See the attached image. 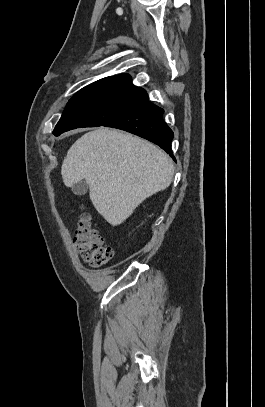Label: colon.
Listing matches in <instances>:
<instances>
[{
    "label": "colon",
    "instance_id": "colon-1",
    "mask_svg": "<svg viewBox=\"0 0 265 407\" xmlns=\"http://www.w3.org/2000/svg\"><path fill=\"white\" fill-rule=\"evenodd\" d=\"M76 242L82 259L92 267L102 266L113 257L112 247L104 244L92 215L86 210L79 220Z\"/></svg>",
    "mask_w": 265,
    "mask_h": 407
}]
</instances>
